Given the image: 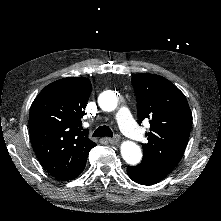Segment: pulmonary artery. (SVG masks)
Wrapping results in <instances>:
<instances>
[{
	"label": "pulmonary artery",
	"mask_w": 221,
	"mask_h": 221,
	"mask_svg": "<svg viewBox=\"0 0 221 221\" xmlns=\"http://www.w3.org/2000/svg\"><path fill=\"white\" fill-rule=\"evenodd\" d=\"M115 118L121 124V129L135 143H142L146 139V131L130 118V111L126 107H119L115 111Z\"/></svg>",
	"instance_id": "obj_1"
}]
</instances>
